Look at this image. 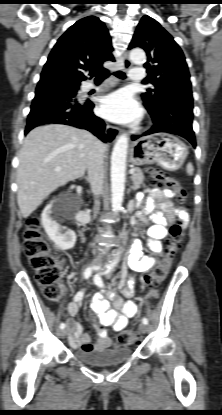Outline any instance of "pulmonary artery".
Instances as JSON below:
<instances>
[{"label": "pulmonary artery", "mask_w": 222, "mask_h": 415, "mask_svg": "<svg viewBox=\"0 0 222 415\" xmlns=\"http://www.w3.org/2000/svg\"><path fill=\"white\" fill-rule=\"evenodd\" d=\"M129 76L132 82H141L144 80L146 72L142 67H134L130 70ZM91 89H93L91 84H85L83 86L84 92L90 91Z\"/></svg>", "instance_id": "obj_1"}]
</instances>
